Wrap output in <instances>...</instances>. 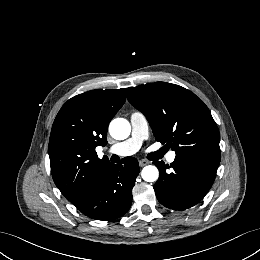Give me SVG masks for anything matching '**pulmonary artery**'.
Instances as JSON below:
<instances>
[{
  "label": "pulmonary artery",
  "instance_id": "e3ab8cb5",
  "mask_svg": "<svg viewBox=\"0 0 260 260\" xmlns=\"http://www.w3.org/2000/svg\"><path fill=\"white\" fill-rule=\"evenodd\" d=\"M141 124H143V119L140 118ZM145 129L144 128H137V126L134 127L132 138L129 140L119 143L112 147L110 150L111 153L119 154V155H126V154H132L134 153L140 146V143L145 135ZM175 152L172 151L168 155V161L173 162L175 159Z\"/></svg>",
  "mask_w": 260,
  "mask_h": 260
}]
</instances>
